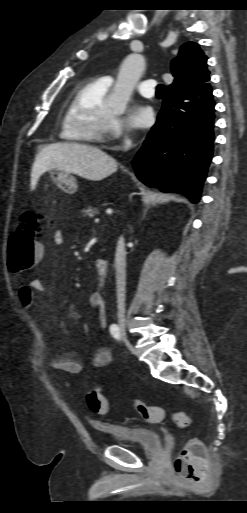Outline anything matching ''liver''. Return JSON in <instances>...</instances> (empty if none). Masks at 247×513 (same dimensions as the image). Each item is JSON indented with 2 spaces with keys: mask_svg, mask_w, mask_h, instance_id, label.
<instances>
[{
  "mask_svg": "<svg viewBox=\"0 0 247 513\" xmlns=\"http://www.w3.org/2000/svg\"><path fill=\"white\" fill-rule=\"evenodd\" d=\"M59 169L90 181H100L117 170V162L98 148L78 143L44 146L36 155L31 172V189L46 170Z\"/></svg>",
  "mask_w": 247,
  "mask_h": 513,
  "instance_id": "1",
  "label": "liver"
}]
</instances>
